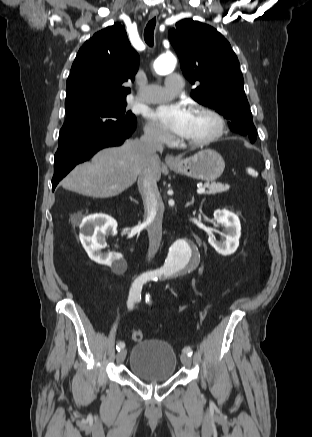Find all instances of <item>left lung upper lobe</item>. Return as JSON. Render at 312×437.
Returning a JSON list of instances; mask_svg holds the SVG:
<instances>
[{"mask_svg":"<svg viewBox=\"0 0 312 437\" xmlns=\"http://www.w3.org/2000/svg\"><path fill=\"white\" fill-rule=\"evenodd\" d=\"M185 77L197 87L191 96L231 121L230 127L256 140L239 61L229 42L215 28L183 19L169 31Z\"/></svg>","mask_w":312,"mask_h":437,"instance_id":"5c2ea615","label":"left lung upper lobe"}]
</instances>
